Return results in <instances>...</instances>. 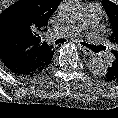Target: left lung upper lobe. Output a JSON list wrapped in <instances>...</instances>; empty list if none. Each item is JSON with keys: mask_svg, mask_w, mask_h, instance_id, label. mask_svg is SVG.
I'll use <instances>...</instances> for the list:
<instances>
[{"mask_svg": "<svg viewBox=\"0 0 118 118\" xmlns=\"http://www.w3.org/2000/svg\"><path fill=\"white\" fill-rule=\"evenodd\" d=\"M102 5L111 24L112 35L110 37V41L114 45L112 53L115 58L109 68L118 74V5L109 0H103Z\"/></svg>", "mask_w": 118, "mask_h": 118, "instance_id": "1", "label": "left lung upper lobe"}]
</instances>
